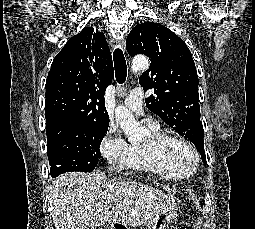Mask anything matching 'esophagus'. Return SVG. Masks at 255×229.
Returning <instances> with one entry per match:
<instances>
[{
	"label": "esophagus",
	"mask_w": 255,
	"mask_h": 229,
	"mask_svg": "<svg viewBox=\"0 0 255 229\" xmlns=\"http://www.w3.org/2000/svg\"><path fill=\"white\" fill-rule=\"evenodd\" d=\"M112 46L114 48L119 47L120 49H122L124 51L125 50V40L122 38L116 44L114 43Z\"/></svg>",
	"instance_id": "34e87169"
}]
</instances>
